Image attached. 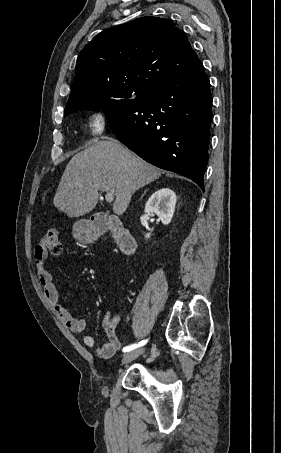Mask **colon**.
Returning a JSON list of instances; mask_svg holds the SVG:
<instances>
[{"label": "colon", "instance_id": "obj_1", "mask_svg": "<svg viewBox=\"0 0 281 453\" xmlns=\"http://www.w3.org/2000/svg\"><path fill=\"white\" fill-rule=\"evenodd\" d=\"M60 227L48 226L45 235L42 237L38 251H43V256L36 255L39 262L46 261L49 257L59 256L61 246L59 241Z\"/></svg>", "mask_w": 281, "mask_h": 453}]
</instances>
